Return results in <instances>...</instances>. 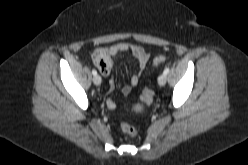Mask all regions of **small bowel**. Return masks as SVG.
<instances>
[{
    "instance_id": "small-bowel-1",
    "label": "small bowel",
    "mask_w": 248,
    "mask_h": 165,
    "mask_svg": "<svg viewBox=\"0 0 248 165\" xmlns=\"http://www.w3.org/2000/svg\"><path fill=\"white\" fill-rule=\"evenodd\" d=\"M108 52H109L111 57H114V56H116L117 54H120V53H130L136 58V60L138 62L137 71L132 75V77L130 79V82L120 85V89H121L122 93L127 95L139 83L141 74L144 71V69H145V67L147 65V62L149 60V54L143 47L135 45V44H130V43H127V42H117V43L112 44L109 47ZM111 69H112V63H111L110 67L107 70L101 71V72L105 76H109L110 73H111ZM114 87H115L114 80L110 79V81H109V92L113 91ZM107 104H108V106L110 108L115 107V103L111 99H109L107 101Z\"/></svg>"
}]
</instances>
